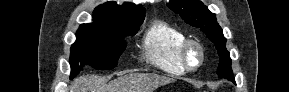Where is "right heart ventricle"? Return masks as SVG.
Listing matches in <instances>:
<instances>
[{
    "label": "right heart ventricle",
    "instance_id": "right-heart-ventricle-1",
    "mask_svg": "<svg viewBox=\"0 0 289 92\" xmlns=\"http://www.w3.org/2000/svg\"><path fill=\"white\" fill-rule=\"evenodd\" d=\"M186 35L178 28L162 21L154 22L147 29L142 44L143 58L170 75H183L180 51Z\"/></svg>",
    "mask_w": 289,
    "mask_h": 92
}]
</instances>
